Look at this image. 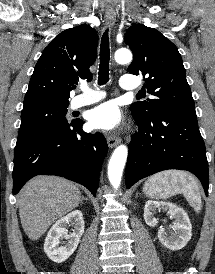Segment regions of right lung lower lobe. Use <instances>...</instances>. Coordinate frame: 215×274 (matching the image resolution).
<instances>
[{
  "mask_svg": "<svg viewBox=\"0 0 215 274\" xmlns=\"http://www.w3.org/2000/svg\"><path fill=\"white\" fill-rule=\"evenodd\" d=\"M108 146L101 133H85L82 121L36 138L14 152L13 194L36 175H57L77 182L94 196Z\"/></svg>",
  "mask_w": 215,
  "mask_h": 274,
  "instance_id": "1",
  "label": "right lung lower lobe"
}]
</instances>
